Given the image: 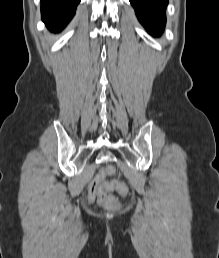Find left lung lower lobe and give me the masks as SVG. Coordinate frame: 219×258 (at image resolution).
Masks as SVG:
<instances>
[{"label": "left lung lower lobe", "instance_id": "1", "mask_svg": "<svg viewBox=\"0 0 219 258\" xmlns=\"http://www.w3.org/2000/svg\"><path fill=\"white\" fill-rule=\"evenodd\" d=\"M141 24L154 36L162 33L168 0H130Z\"/></svg>", "mask_w": 219, "mask_h": 258}]
</instances>
